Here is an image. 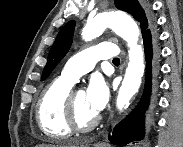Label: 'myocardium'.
<instances>
[{
    "label": "myocardium",
    "instance_id": "1",
    "mask_svg": "<svg viewBox=\"0 0 183 147\" xmlns=\"http://www.w3.org/2000/svg\"><path fill=\"white\" fill-rule=\"evenodd\" d=\"M75 92H70L66 101V118L70 128L78 133H85L93 130L100 121V116H96L87 124H81L77 118L74 101Z\"/></svg>",
    "mask_w": 183,
    "mask_h": 147
}]
</instances>
